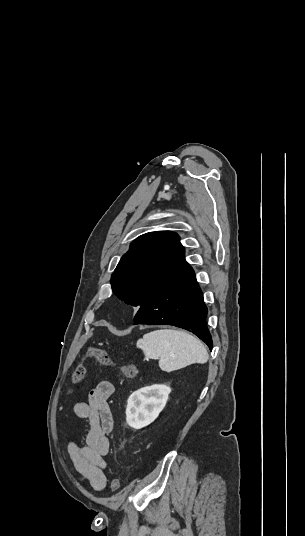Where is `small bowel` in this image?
I'll use <instances>...</instances> for the list:
<instances>
[{"label":"small bowel","instance_id":"small-bowel-1","mask_svg":"<svg viewBox=\"0 0 305 536\" xmlns=\"http://www.w3.org/2000/svg\"><path fill=\"white\" fill-rule=\"evenodd\" d=\"M113 393V384L103 380L90 391L87 402H77L74 406L76 416L88 422L89 431L85 445L73 440L68 443V453L79 476L97 491L103 490L107 483L104 456L110 447L112 413L108 400Z\"/></svg>","mask_w":305,"mask_h":536}]
</instances>
